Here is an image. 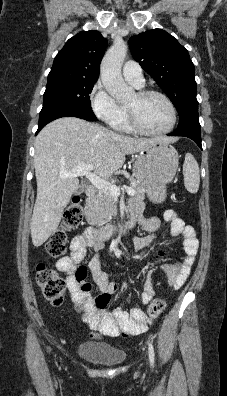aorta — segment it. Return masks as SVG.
<instances>
[{
	"label": "aorta",
	"instance_id": "1",
	"mask_svg": "<svg viewBox=\"0 0 227 396\" xmlns=\"http://www.w3.org/2000/svg\"><path fill=\"white\" fill-rule=\"evenodd\" d=\"M127 54V45L123 41H115L105 54L101 63V80L106 91L117 102H126L132 94L123 80L121 66Z\"/></svg>",
	"mask_w": 227,
	"mask_h": 396
}]
</instances>
